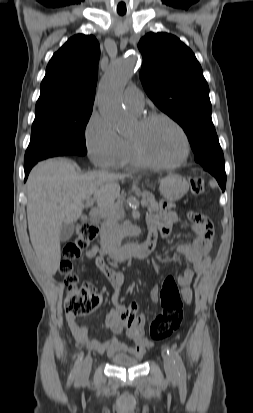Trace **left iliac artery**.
<instances>
[{
  "instance_id": "1",
  "label": "left iliac artery",
  "mask_w": 253,
  "mask_h": 413,
  "mask_svg": "<svg viewBox=\"0 0 253 413\" xmlns=\"http://www.w3.org/2000/svg\"><path fill=\"white\" fill-rule=\"evenodd\" d=\"M167 353H168V355H170V357L174 361V364L177 368L179 376L182 379H184L186 377V370H185V366L183 364V361H182L179 353L173 348L167 350Z\"/></svg>"
}]
</instances>
